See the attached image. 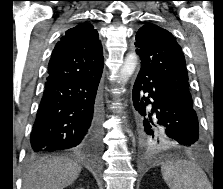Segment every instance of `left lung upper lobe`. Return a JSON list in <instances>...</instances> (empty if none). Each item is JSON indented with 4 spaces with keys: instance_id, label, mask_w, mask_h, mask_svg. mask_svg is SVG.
I'll return each instance as SVG.
<instances>
[{
    "instance_id": "5c2ea615",
    "label": "left lung upper lobe",
    "mask_w": 223,
    "mask_h": 189,
    "mask_svg": "<svg viewBox=\"0 0 223 189\" xmlns=\"http://www.w3.org/2000/svg\"><path fill=\"white\" fill-rule=\"evenodd\" d=\"M135 40L141 66L151 69L178 100L193 107L184 54L175 37L167 30L148 23L138 30ZM140 133L142 143L146 147L173 146L172 141L156 128L153 129V133Z\"/></svg>"
}]
</instances>
